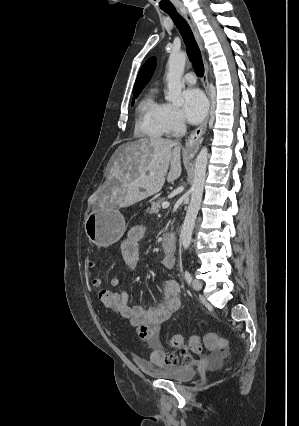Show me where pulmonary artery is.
<instances>
[{
  "mask_svg": "<svg viewBox=\"0 0 299 426\" xmlns=\"http://www.w3.org/2000/svg\"><path fill=\"white\" fill-rule=\"evenodd\" d=\"M183 79L188 84H194L196 82V76L192 72L186 73Z\"/></svg>",
  "mask_w": 299,
  "mask_h": 426,
  "instance_id": "obj_1",
  "label": "pulmonary artery"
}]
</instances>
